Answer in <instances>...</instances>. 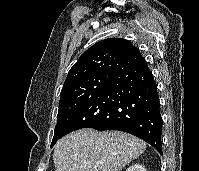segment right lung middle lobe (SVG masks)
I'll return each instance as SVG.
<instances>
[{"instance_id": "right-lung-middle-lobe-1", "label": "right lung middle lobe", "mask_w": 199, "mask_h": 171, "mask_svg": "<svg viewBox=\"0 0 199 171\" xmlns=\"http://www.w3.org/2000/svg\"><path fill=\"white\" fill-rule=\"evenodd\" d=\"M114 75L100 74L93 76L70 90L61 93L57 124L51 147L62 137L67 125L74 118L81 107L88 102L95 93L105 86Z\"/></svg>"}]
</instances>
